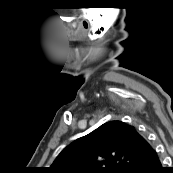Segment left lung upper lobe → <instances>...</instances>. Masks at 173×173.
<instances>
[{"mask_svg": "<svg viewBox=\"0 0 173 173\" xmlns=\"http://www.w3.org/2000/svg\"><path fill=\"white\" fill-rule=\"evenodd\" d=\"M152 146L131 125L105 123L67 146L50 167L53 173H134Z\"/></svg>", "mask_w": 173, "mask_h": 173, "instance_id": "obj_1", "label": "left lung upper lobe"}]
</instances>
